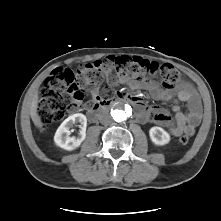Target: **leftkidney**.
<instances>
[{
    "mask_svg": "<svg viewBox=\"0 0 221 221\" xmlns=\"http://www.w3.org/2000/svg\"><path fill=\"white\" fill-rule=\"evenodd\" d=\"M151 141L156 145H165L170 141V135L161 127L155 126L149 130Z\"/></svg>",
    "mask_w": 221,
    "mask_h": 221,
    "instance_id": "1",
    "label": "left kidney"
}]
</instances>
